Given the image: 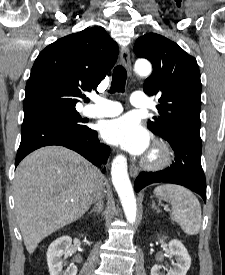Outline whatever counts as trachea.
I'll return each instance as SVG.
<instances>
[{"label": "trachea", "mask_w": 225, "mask_h": 275, "mask_svg": "<svg viewBox=\"0 0 225 275\" xmlns=\"http://www.w3.org/2000/svg\"><path fill=\"white\" fill-rule=\"evenodd\" d=\"M127 73L126 69L122 65H118L114 68L112 75V83L109 92H121L125 91V83H126Z\"/></svg>", "instance_id": "3493384b"}]
</instances>
